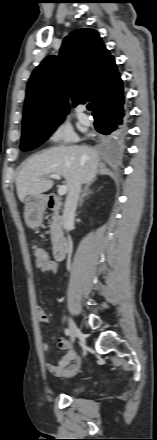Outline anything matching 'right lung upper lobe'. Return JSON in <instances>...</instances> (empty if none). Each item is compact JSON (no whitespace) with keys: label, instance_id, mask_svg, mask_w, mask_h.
<instances>
[{"label":"right lung upper lobe","instance_id":"cb5924a9","mask_svg":"<svg viewBox=\"0 0 157 440\" xmlns=\"http://www.w3.org/2000/svg\"><path fill=\"white\" fill-rule=\"evenodd\" d=\"M73 106L86 101L98 110L123 94V83L113 56L96 30L82 28L63 41L59 56H48L33 71L23 111V126L64 119Z\"/></svg>","mask_w":157,"mask_h":440}]
</instances>
